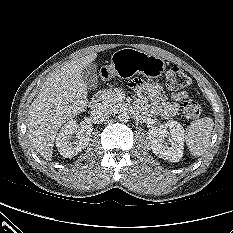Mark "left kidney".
Segmentation results:
<instances>
[{"mask_svg": "<svg viewBox=\"0 0 233 233\" xmlns=\"http://www.w3.org/2000/svg\"><path fill=\"white\" fill-rule=\"evenodd\" d=\"M166 128L152 127L149 132L150 146L159 158L178 162L183 156L184 128L177 121H169Z\"/></svg>", "mask_w": 233, "mask_h": 233, "instance_id": "5707ae66", "label": "left kidney"}]
</instances>
